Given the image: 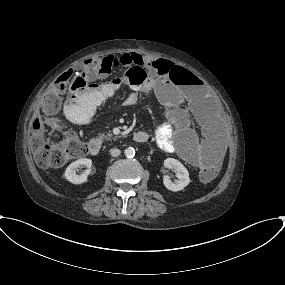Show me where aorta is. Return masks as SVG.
I'll return each instance as SVG.
<instances>
[{"mask_svg": "<svg viewBox=\"0 0 285 285\" xmlns=\"http://www.w3.org/2000/svg\"><path fill=\"white\" fill-rule=\"evenodd\" d=\"M124 153L127 158H133L135 156V149L128 147L125 149Z\"/></svg>", "mask_w": 285, "mask_h": 285, "instance_id": "obj_1", "label": "aorta"}]
</instances>
